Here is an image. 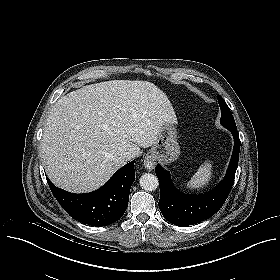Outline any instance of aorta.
Instances as JSON below:
<instances>
[{
  "mask_svg": "<svg viewBox=\"0 0 280 280\" xmlns=\"http://www.w3.org/2000/svg\"><path fill=\"white\" fill-rule=\"evenodd\" d=\"M140 187L145 191H155L159 185L157 176L145 173L140 177Z\"/></svg>",
  "mask_w": 280,
  "mask_h": 280,
  "instance_id": "1",
  "label": "aorta"
}]
</instances>
